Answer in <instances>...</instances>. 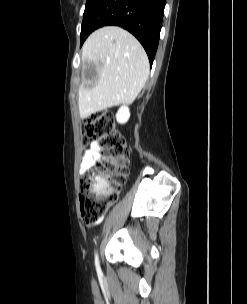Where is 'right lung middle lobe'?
Returning a JSON list of instances; mask_svg holds the SVG:
<instances>
[{"label": "right lung middle lobe", "mask_w": 247, "mask_h": 304, "mask_svg": "<svg viewBox=\"0 0 247 304\" xmlns=\"http://www.w3.org/2000/svg\"><path fill=\"white\" fill-rule=\"evenodd\" d=\"M99 0H87L86 1V6H85V11H84V14H83V18H85L89 13L90 11L92 10V8L95 6V4L98 2ZM82 30H81V34H82Z\"/></svg>", "instance_id": "dd1d6c3e"}]
</instances>
